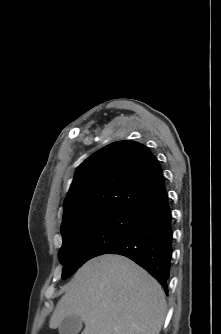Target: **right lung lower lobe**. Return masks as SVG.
I'll return each mask as SVG.
<instances>
[{
  "mask_svg": "<svg viewBox=\"0 0 221 334\" xmlns=\"http://www.w3.org/2000/svg\"><path fill=\"white\" fill-rule=\"evenodd\" d=\"M172 233L171 210L164 189L137 213L135 221L122 239L106 253L130 258L147 270L168 294Z\"/></svg>",
  "mask_w": 221,
  "mask_h": 334,
  "instance_id": "right-lung-lower-lobe-1",
  "label": "right lung lower lobe"
}]
</instances>
